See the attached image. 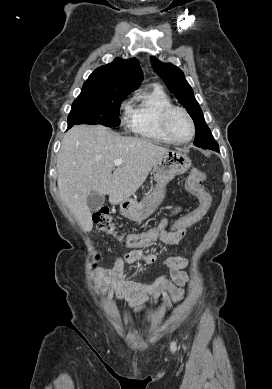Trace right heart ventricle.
<instances>
[{
    "instance_id": "1",
    "label": "right heart ventricle",
    "mask_w": 272,
    "mask_h": 389,
    "mask_svg": "<svg viewBox=\"0 0 272 389\" xmlns=\"http://www.w3.org/2000/svg\"><path fill=\"white\" fill-rule=\"evenodd\" d=\"M172 105L168 94L158 85L139 94L127 114L129 130L148 140L169 143L160 126L163 110Z\"/></svg>"
}]
</instances>
